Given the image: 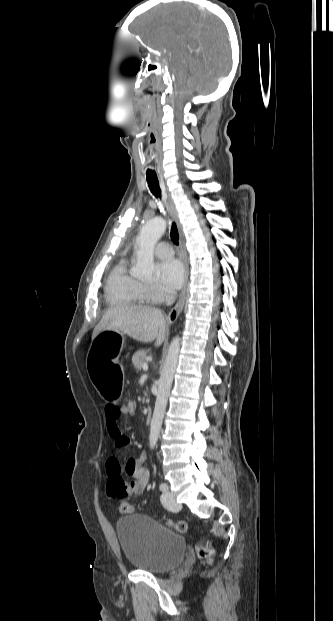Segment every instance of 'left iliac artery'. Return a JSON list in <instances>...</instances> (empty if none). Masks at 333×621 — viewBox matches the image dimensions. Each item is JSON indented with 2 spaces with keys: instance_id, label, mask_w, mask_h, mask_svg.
<instances>
[{
  "instance_id": "1",
  "label": "left iliac artery",
  "mask_w": 333,
  "mask_h": 621,
  "mask_svg": "<svg viewBox=\"0 0 333 621\" xmlns=\"http://www.w3.org/2000/svg\"><path fill=\"white\" fill-rule=\"evenodd\" d=\"M159 488H160V490H161V491H163V492H164V491H166V490H168V486H167V484H166V483H161V484H160V486H159Z\"/></svg>"
}]
</instances>
